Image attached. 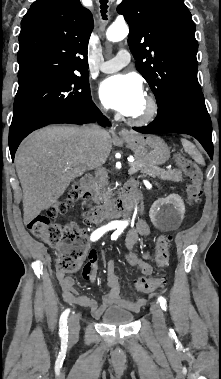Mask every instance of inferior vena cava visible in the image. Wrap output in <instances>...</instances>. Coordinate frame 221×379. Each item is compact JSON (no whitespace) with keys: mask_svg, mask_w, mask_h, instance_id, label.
Instances as JSON below:
<instances>
[{"mask_svg":"<svg viewBox=\"0 0 221 379\" xmlns=\"http://www.w3.org/2000/svg\"><path fill=\"white\" fill-rule=\"evenodd\" d=\"M85 132L88 136L92 138H96L104 133V130H102L98 125H92L90 127H87L85 129ZM96 174L102 179L103 182H106L107 175L104 171V169L99 168Z\"/></svg>","mask_w":221,"mask_h":379,"instance_id":"inferior-vena-cava-1","label":"inferior vena cava"}]
</instances>
